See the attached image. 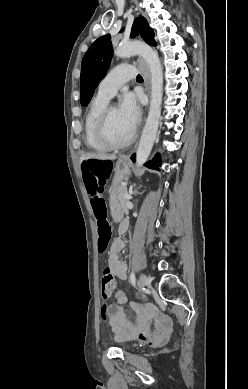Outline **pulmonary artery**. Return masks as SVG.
Instances as JSON below:
<instances>
[{"mask_svg":"<svg viewBox=\"0 0 248 389\" xmlns=\"http://www.w3.org/2000/svg\"><path fill=\"white\" fill-rule=\"evenodd\" d=\"M135 74V68L131 64L124 63L114 67L100 83L98 94L111 99L126 81L134 78Z\"/></svg>","mask_w":248,"mask_h":389,"instance_id":"pulmonary-artery-1","label":"pulmonary artery"}]
</instances>
